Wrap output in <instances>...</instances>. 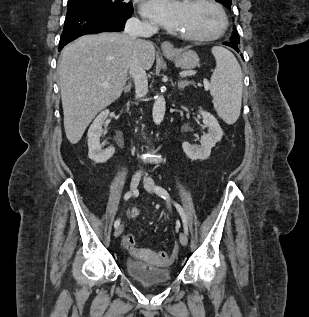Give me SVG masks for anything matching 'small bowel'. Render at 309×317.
Masks as SVG:
<instances>
[{
  "instance_id": "1",
  "label": "small bowel",
  "mask_w": 309,
  "mask_h": 317,
  "mask_svg": "<svg viewBox=\"0 0 309 317\" xmlns=\"http://www.w3.org/2000/svg\"><path fill=\"white\" fill-rule=\"evenodd\" d=\"M131 253H136V249L135 248H129Z\"/></svg>"
}]
</instances>
